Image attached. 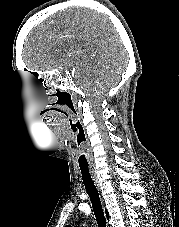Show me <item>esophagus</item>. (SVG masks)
Segmentation results:
<instances>
[{"mask_svg":"<svg viewBox=\"0 0 179 227\" xmlns=\"http://www.w3.org/2000/svg\"><path fill=\"white\" fill-rule=\"evenodd\" d=\"M90 172L93 177V180L97 183V177H96V172L94 171L93 167H90Z\"/></svg>","mask_w":179,"mask_h":227,"instance_id":"obj_1","label":"esophagus"}]
</instances>
